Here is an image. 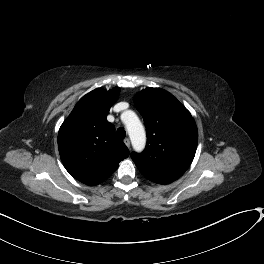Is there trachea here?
I'll use <instances>...</instances> for the list:
<instances>
[{
	"label": "trachea",
	"instance_id": "1",
	"mask_svg": "<svg viewBox=\"0 0 264 264\" xmlns=\"http://www.w3.org/2000/svg\"><path fill=\"white\" fill-rule=\"evenodd\" d=\"M117 136L120 139H124L126 137V131L124 130V128H118L117 129Z\"/></svg>",
	"mask_w": 264,
	"mask_h": 264
}]
</instances>
